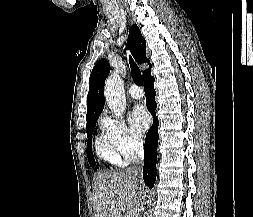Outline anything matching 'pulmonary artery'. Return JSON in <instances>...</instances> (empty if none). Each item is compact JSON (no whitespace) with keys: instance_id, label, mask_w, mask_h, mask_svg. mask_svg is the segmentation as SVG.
<instances>
[{"instance_id":"e3ab8cb5","label":"pulmonary artery","mask_w":253,"mask_h":217,"mask_svg":"<svg viewBox=\"0 0 253 217\" xmlns=\"http://www.w3.org/2000/svg\"><path fill=\"white\" fill-rule=\"evenodd\" d=\"M128 91L130 96L134 99H141L144 95L142 89L136 84L131 85Z\"/></svg>"}]
</instances>
